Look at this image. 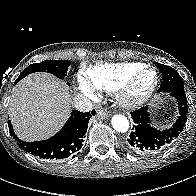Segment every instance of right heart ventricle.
Wrapping results in <instances>:
<instances>
[{
    "instance_id": "obj_1",
    "label": "right heart ventricle",
    "mask_w": 196,
    "mask_h": 196,
    "mask_svg": "<svg viewBox=\"0 0 196 196\" xmlns=\"http://www.w3.org/2000/svg\"><path fill=\"white\" fill-rule=\"evenodd\" d=\"M143 65L141 62L98 64L87 71V79L95 89L113 92Z\"/></svg>"
}]
</instances>
